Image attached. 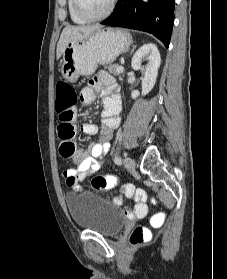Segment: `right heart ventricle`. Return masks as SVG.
I'll return each instance as SVG.
<instances>
[{"mask_svg":"<svg viewBox=\"0 0 227 279\" xmlns=\"http://www.w3.org/2000/svg\"><path fill=\"white\" fill-rule=\"evenodd\" d=\"M67 9L70 16V19L75 24H85L87 21L80 18L74 9L73 0H67Z\"/></svg>","mask_w":227,"mask_h":279,"instance_id":"right-heart-ventricle-1","label":"right heart ventricle"}]
</instances>
